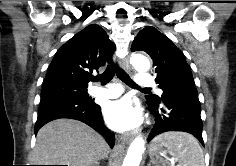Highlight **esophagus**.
I'll use <instances>...</instances> for the list:
<instances>
[{
    "label": "esophagus",
    "mask_w": 236,
    "mask_h": 166,
    "mask_svg": "<svg viewBox=\"0 0 236 166\" xmlns=\"http://www.w3.org/2000/svg\"><path fill=\"white\" fill-rule=\"evenodd\" d=\"M121 64H122V68H123L125 71H127V72H130V71H131V67H130L128 58H124V59L122 60V63H121ZM133 137H134L133 134L127 133V134L122 135L120 139H121V141H122L123 143H128V142H130V141L133 139Z\"/></svg>",
    "instance_id": "obj_1"
}]
</instances>
